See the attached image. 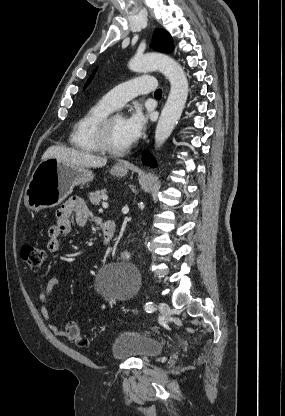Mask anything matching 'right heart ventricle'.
<instances>
[{
	"label": "right heart ventricle",
	"mask_w": 285,
	"mask_h": 416,
	"mask_svg": "<svg viewBox=\"0 0 285 416\" xmlns=\"http://www.w3.org/2000/svg\"><path fill=\"white\" fill-rule=\"evenodd\" d=\"M110 110L111 108L102 99L88 106L73 126L69 138L71 146L85 154L99 153L100 150L94 139L95 126Z\"/></svg>",
	"instance_id": "e07e8e85"
}]
</instances>
